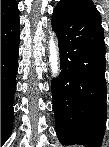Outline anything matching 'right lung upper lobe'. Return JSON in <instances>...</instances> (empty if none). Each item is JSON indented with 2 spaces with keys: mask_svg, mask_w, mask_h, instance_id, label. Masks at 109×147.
<instances>
[{
  "mask_svg": "<svg viewBox=\"0 0 109 147\" xmlns=\"http://www.w3.org/2000/svg\"><path fill=\"white\" fill-rule=\"evenodd\" d=\"M19 14L15 0H1V25L11 21Z\"/></svg>",
  "mask_w": 109,
  "mask_h": 147,
  "instance_id": "1",
  "label": "right lung upper lobe"
}]
</instances>
